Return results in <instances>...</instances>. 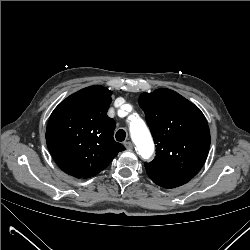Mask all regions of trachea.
Listing matches in <instances>:
<instances>
[{"label":"trachea","mask_w":250,"mask_h":250,"mask_svg":"<svg viewBox=\"0 0 250 250\" xmlns=\"http://www.w3.org/2000/svg\"><path fill=\"white\" fill-rule=\"evenodd\" d=\"M115 137H116V140H117V141L122 142V141H124L125 138H126V132H125L123 129H120V130L117 131Z\"/></svg>","instance_id":"trachea-1"}]
</instances>
